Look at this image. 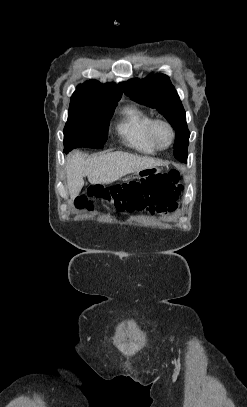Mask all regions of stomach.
<instances>
[{"instance_id":"obj_1","label":"stomach","mask_w":247,"mask_h":407,"mask_svg":"<svg viewBox=\"0 0 247 407\" xmlns=\"http://www.w3.org/2000/svg\"><path fill=\"white\" fill-rule=\"evenodd\" d=\"M161 169L156 166H139V169H132V178H151L152 175L160 172Z\"/></svg>"}]
</instances>
